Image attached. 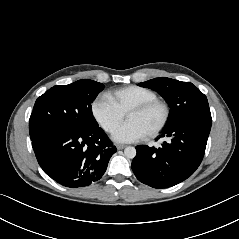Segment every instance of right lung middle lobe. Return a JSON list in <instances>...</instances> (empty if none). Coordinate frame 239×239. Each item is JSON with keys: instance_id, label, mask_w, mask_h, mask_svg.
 <instances>
[{"instance_id": "dd1d6c3e", "label": "right lung middle lobe", "mask_w": 239, "mask_h": 239, "mask_svg": "<svg viewBox=\"0 0 239 239\" xmlns=\"http://www.w3.org/2000/svg\"><path fill=\"white\" fill-rule=\"evenodd\" d=\"M103 89V84L88 79L50 88L35 102L29 120L31 139L47 129L86 130L98 126L91 103Z\"/></svg>"}]
</instances>
